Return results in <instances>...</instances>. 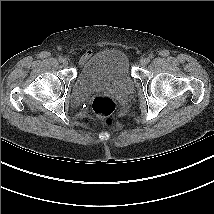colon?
Wrapping results in <instances>:
<instances>
[{
  "mask_svg": "<svg viewBox=\"0 0 214 214\" xmlns=\"http://www.w3.org/2000/svg\"><path fill=\"white\" fill-rule=\"evenodd\" d=\"M117 108V102L112 97L98 96L92 102V109L96 115L102 118L107 126L114 125L113 113Z\"/></svg>",
  "mask_w": 214,
  "mask_h": 214,
  "instance_id": "5ec220e1",
  "label": "colon"
}]
</instances>
